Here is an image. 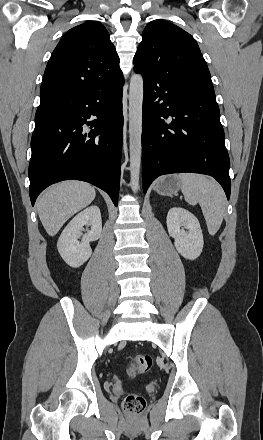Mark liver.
I'll list each match as a JSON object with an SVG mask.
<instances>
[{"mask_svg": "<svg viewBox=\"0 0 263 440\" xmlns=\"http://www.w3.org/2000/svg\"><path fill=\"white\" fill-rule=\"evenodd\" d=\"M95 189L81 181H65L47 189L37 203L39 218L50 236H55L75 213L88 206Z\"/></svg>", "mask_w": 263, "mask_h": 440, "instance_id": "1", "label": "liver"}]
</instances>
